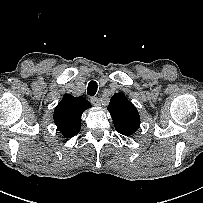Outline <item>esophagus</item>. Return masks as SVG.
I'll return each instance as SVG.
<instances>
[{"instance_id": "1", "label": "esophagus", "mask_w": 203, "mask_h": 203, "mask_svg": "<svg viewBox=\"0 0 203 203\" xmlns=\"http://www.w3.org/2000/svg\"><path fill=\"white\" fill-rule=\"evenodd\" d=\"M90 102L95 105V106H99L100 105V100L97 97H91L90 98Z\"/></svg>"}]
</instances>
